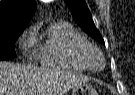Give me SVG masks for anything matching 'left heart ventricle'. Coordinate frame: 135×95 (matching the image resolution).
<instances>
[{
	"instance_id": "b2bd125f",
	"label": "left heart ventricle",
	"mask_w": 135,
	"mask_h": 95,
	"mask_svg": "<svg viewBox=\"0 0 135 95\" xmlns=\"http://www.w3.org/2000/svg\"><path fill=\"white\" fill-rule=\"evenodd\" d=\"M90 63L93 67L97 68L101 65V61L97 56H92L90 58Z\"/></svg>"
}]
</instances>
